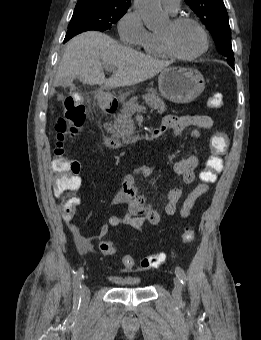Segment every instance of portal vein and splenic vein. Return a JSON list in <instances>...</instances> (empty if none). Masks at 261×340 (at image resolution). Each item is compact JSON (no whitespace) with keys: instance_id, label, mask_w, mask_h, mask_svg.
Here are the masks:
<instances>
[{"instance_id":"1","label":"portal vein and splenic vein","mask_w":261,"mask_h":340,"mask_svg":"<svg viewBox=\"0 0 261 340\" xmlns=\"http://www.w3.org/2000/svg\"><path fill=\"white\" fill-rule=\"evenodd\" d=\"M106 70H107V71H113V68L107 67ZM133 108H134L136 111L146 110V107L141 106V105H138V104H133Z\"/></svg>"}]
</instances>
